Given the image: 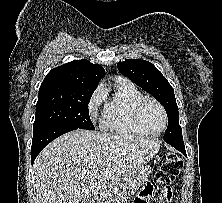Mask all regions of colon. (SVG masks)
<instances>
[{
  "label": "colon",
  "instance_id": "obj_1",
  "mask_svg": "<svg viewBox=\"0 0 222 203\" xmlns=\"http://www.w3.org/2000/svg\"><path fill=\"white\" fill-rule=\"evenodd\" d=\"M182 167L181 160L174 153H168L155 180L141 190L135 203H166L169 186L180 174Z\"/></svg>",
  "mask_w": 222,
  "mask_h": 203
}]
</instances>
